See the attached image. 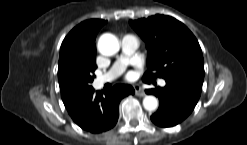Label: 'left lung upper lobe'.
I'll list each match as a JSON object with an SVG mask.
<instances>
[{
  "label": "left lung upper lobe",
  "instance_id": "left-lung-upper-lobe-1",
  "mask_svg": "<svg viewBox=\"0 0 247 145\" xmlns=\"http://www.w3.org/2000/svg\"><path fill=\"white\" fill-rule=\"evenodd\" d=\"M130 25L146 42L148 71L144 82L156 77H180L202 84L204 60L192 32L180 21L165 15L130 20Z\"/></svg>",
  "mask_w": 247,
  "mask_h": 145
}]
</instances>
